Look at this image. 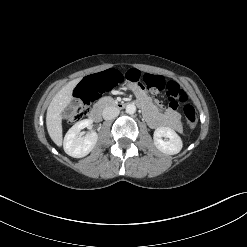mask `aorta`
Returning <instances> with one entry per match:
<instances>
[{
    "label": "aorta",
    "instance_id": "aorta-1",
    "mask_svg": "<svg viewBox=\"0 0 247 247\" xmlns=\"http://www.w3.org/2000/svg\"><path fill=\"white\" fill-rule=\"evenodd\" d=\"M136 112V106L134 104H128L126 106V113L132 115Z\"/></svg>",
    "mask_w": 247,
    "mask_h": 247
}]
</instances>
